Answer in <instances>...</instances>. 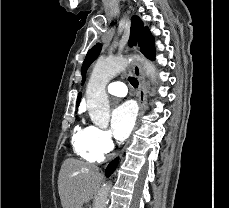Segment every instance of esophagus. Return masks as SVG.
<instances>
[{"mask_svg":"<svg viewBox=\"0 0 229 208\" xmlns=\"http://www.w3.org/2000/svg\"><path fill=\"white\" fill-rule=\"evenodd\" d=\"M133 50L136 52L137 47H134ZM132 69L135 77L139 81V88H138V103L140 107V115H143L146 109V103H147V93L145 89V80L143 71L141 68V65L137 61H133L132 63ZM130 143V141L127 142V145Z\"/></svg>","mask_w":229,"mask_h":208,"instance_id":"34e87169","label":"esophagus"}]
</instances>
